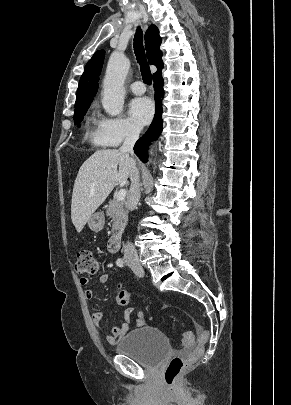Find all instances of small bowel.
I'll return each instance as SVG.
<instances>
[{
  "label": "small bowel",
  "instance_id": "c3829d8e",
  "mask_svg": "<svg viewBox=\"0 0 291 405\" xmlns=\"http://www.w3.org/2000/svg\"><path fill=\"white\" fill-rule=\"evenodd\" d=\"M109 279L108 274L102 273L98 278V284L102 285L105 284ZM82 286H87L89 284V279L87 277H81L79 280ZM85 298L87 300H91L94 297V292L92 289H87L84 293ZM134 313L133 308H127L124 312V322L121 325H115L111 329V333H105V339L109 344H116L128 331L130 328L131 322V315ZM104 313L102 312H95L91 316V321L93 326L95 327L97 332H103V321H104ZM145 323L144 314L142 312H138L136 314L135 324L136 327H141Z\"/></svg>",
  "mask_w": 291,
  "mask_h": 405
}]
</instances>
